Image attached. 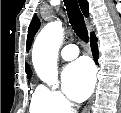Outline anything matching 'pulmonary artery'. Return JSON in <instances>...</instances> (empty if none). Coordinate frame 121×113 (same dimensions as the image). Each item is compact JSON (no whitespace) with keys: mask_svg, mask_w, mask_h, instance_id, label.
Wrapping results in <instances>:
<instances>
[{"mask_svg":"<svg viewBox=\"0 0 121 113\" xmlns=\"http://www.w3.org/2000/svg\"><path fill=\"white\" fill-rule=\"evenodd\" d=\"M79 54L78 47L74 44H68L64 46L60 52L61 58L65 61H71L75 59Z\"/></svg>","mask_w":121,"mask_h":113,"instance_id":"obj_1","label":"pulmonary artery"}]
</instances>
